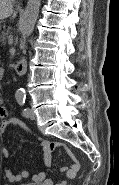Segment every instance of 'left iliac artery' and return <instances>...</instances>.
<instances>
[{
  "label": "left iliac artery",
  "mask_w": 119,
  "mask_h": 185,
  "mask_svg": "<svg viewBox=\"0 0 119 185\" xmlns=\"http://www.w3.org/2000/svg\"><path fill=\"white\" fill-rule=\"evenodd\" d=\"M17 102L20 106H23L25 104V97L17 98ZM22 114H23V116L28 117L29 109L24 108Z\"/></svg>",
  "instance_id": "left-iliac-artery-1"
}]
</instances>
